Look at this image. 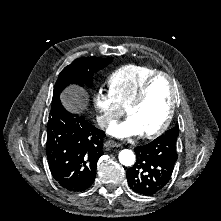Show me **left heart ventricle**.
Wrapping results in <instances>:
<instances>
[{
    "label": "left heart ventricle",
    "mask_w": 221,
    "mask_h": 221,
    "mask_svg": "<svg viewBox=\"0 0 221 221\" xmlns=\"http://www.w3.org/2000/svg\"><path fill=\"white\" fill-rule=\"evenodd\" d=\"M171 91L166 78H158L150 86L141 105L129 110L130 119L142 134L158 128L169 110Z\"/></svg>",
    "instance_id": "b2bd125f"
}]
</instances>
